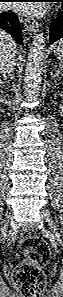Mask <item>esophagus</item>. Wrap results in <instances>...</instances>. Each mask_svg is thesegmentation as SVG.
<instances>
[{
  "label": "esophagus",
  "mask_w": 63,
  "mask_h": 297,
  "mask_svg": "<svg viewBox=\"0 0 63 297\" xmlns=\"http://www.w3.org/2000/svg\"><path fill=\"white\" fill-rule=\"evenodd\" d=\"M24 24L29 33H36L38 31V23L35 20L24 19Z\"/></svg>",
  "instance_id": "1"
}]
</instances>
